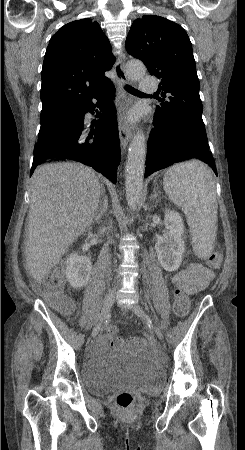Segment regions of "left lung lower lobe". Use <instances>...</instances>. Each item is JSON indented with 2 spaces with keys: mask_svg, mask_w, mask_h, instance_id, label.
I'll return each instance as SVG.
<instances>
[{
  "mask_svg": "<svg viewBox=\"0 0 245 450\" xmlns=\"http://www.w3.org/2000/svg\"><path fill=\"white\" fill-rule=\"evenodd\" d=\"M154 119V129L148 143L145 177L188 159L206 162L217 175L208 139H203L186 128L172 126L157 114H154Z\"/></svg>",
  "mask_w": 245,
  "mask_h": 450,
  "instance_id": "1",
  "label": "left lung lower lobe"
}]
</instances>
